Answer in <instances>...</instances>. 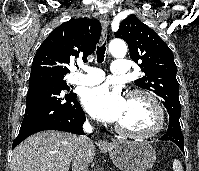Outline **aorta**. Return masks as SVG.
Wrapping results in <instances>:
<instances>
[{
  "label": "aorta",
  "instance_id": "762f6f07",
  "mask_svg": "<svg viewBox=\"0 0 199 171\" xmlns=\"http://www.w3.org/2000/svg\"><path fill=\"white\" fill-rule=\"evenodd\" d=\"M109 51L114 56H124L127 52L126 43L121 39H114L109 44Z\"/></svg>",
  "mask_w": 199,
  "mask_h": 171
}]
</instances>
